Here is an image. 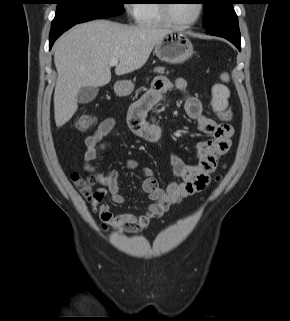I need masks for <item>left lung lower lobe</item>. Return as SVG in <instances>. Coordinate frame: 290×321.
<instances>
[{"label":"left lung lower lobe","instance_id":"left-lung-lower-lobe-1","mask_svg":"<svg viewBox=\"0 0 290 321\" xmlns=\"http://www.w3.org/2000/svg\"><path fill=\"white\" fill-rule=\"evenodd\" d=\"M207 34L223 37L233 43L238 50L241 51V38L238 26V18L222 26L207 30Z\"/></svg>","mask_w":290,"mask_h":321}]
</instances>
